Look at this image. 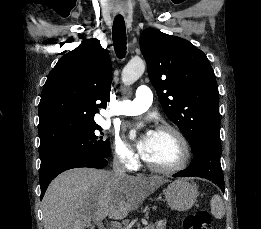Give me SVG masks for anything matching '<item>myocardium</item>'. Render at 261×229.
I'll use <instances>...</instances> for the list:
<instances>
[{
    "instance_id": "f54148a6",
    "label": "myocardium",
    "mask_w": 261,
    "mask_h": 229,
    "mask_svg": "<svg viewBox=\"0 0 261 229\" xmlns=\"http://www.w3.org/2000/svg\"><path fill=\"white\" fill-rule=\"evenodd\" d=\"M156 131L171 133L175 137V139L180 147L181 154H180V158H179L178 162L172 166H156V165L152 164L151 162H149L145 157H143V160H144L146 166L148 167V169L153 172L161 173V174H172V173H176V172L183 170L187 166L189 158H190L189 144H188L185 136L183 135V133L176 127L169 125V124H162V125L158 126Z\"/></svg>"
}]
</instances>
